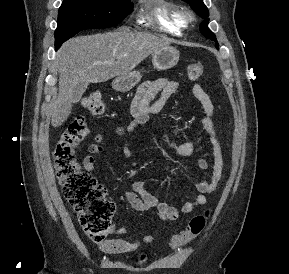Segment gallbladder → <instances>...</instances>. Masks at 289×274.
Here are the masks:
<instances>
[{
	"label": "gallbladder",
	"mask_w": 289,
	"mask_h": 274,
	"mask_svg": "<svg viewBox=\"0 0 289 274\" xmlns=\"http://www.w3.org/2000/svg\"><path fill=\"white\" fill-rule=\"evenodd\" d=\"M88 84L86 83H79L76 87H75V90H74V93H73V100L75 102H78L82 96V94L84 93V91L86 90Z\"/></svg>",
	"instance_id": "gallbladder-1"
}]
</instances>
